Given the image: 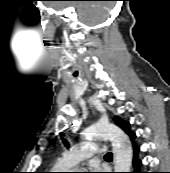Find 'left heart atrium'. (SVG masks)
<instances>
[{
	"label": "left heart atrium",
	"mask_w": 170,
	"mask_h": 173,
	"mask_svg": "<svg viewBox=\"0 0 170 173\" xmlns=\"http://www.w3.org/2000/svg\"><path fill=\"white\" fill-rule=\"evenodd\" d=\"M90 170L92 171V173H99L101 169L97 166H91Z\"/></svg>",
	"instance_id": "obj_1"
}]
</instances>
